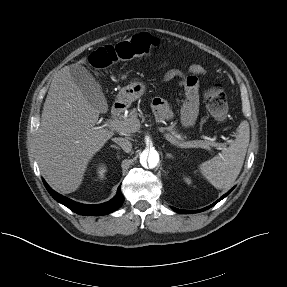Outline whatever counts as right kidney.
Masks as SVG:
<instances>
[{
	"instance_id": "right-kidney-1",
	"label": "right kidney",
	"mask_w": 287,
	"mask_h": 287,
	"mask_svg": "<svg viewBox=\"0 0 287 287\" xmlns=\"http://www.w3.org/2000/svg\"><path fill=\"white\" fill-rule=\"evenodd\" d=\"M106 171V166L104 164H100L97 168L98 177L102 179Z\"/></svg>"
}]
</instances>
